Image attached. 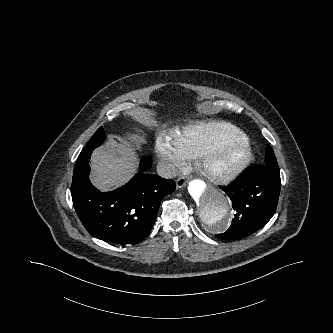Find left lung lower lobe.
<instances>
[{"mask_svg": "<svg viewBox=\"0 0 333 333\" xmlns=\"http://www.w3.org/2000/svg\"><path fill=\"white\" fill-rule=\"evenodd\" d=\"M266 151H272L269 145ZM280 187V172L264 165L249 166L232 184L220 187L231 199L235 217L225 233L215 236L237 240L262 228L276 211Z\"/></svg>", "mask_w": 333, "mask_h": 333, "instance_id": "obj_1", "label": "left lung lower lobe"}]
</instances>
